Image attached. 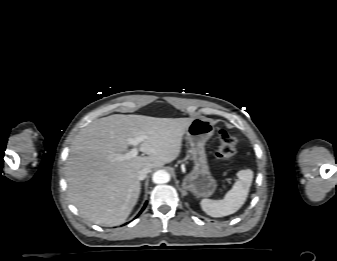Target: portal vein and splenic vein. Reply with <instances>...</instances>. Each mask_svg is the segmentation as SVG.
<instances>
[{
  "instance_id": "portal-vein-and-splenic-vein-1",
  "label": "portal vein and splenic vein",
  "mask_w": 337,
  "mask_h": 261,
  "mask_svg": "<svg viewBox=\"0 0 337 261\" xmlns=\"http://www.w3.org/2000/svg\"><path fill=\"white\" fill-rule=\"evenodd\" d=\"M147 139L146 135H141L138 136L136 138H127L126 141L127 143H129L130 145L133 146V148L125 153V154H115L113 155L112 159L115 161H124V160H129L132 159L134 157H136L138 155V145L141 141Z\"/></svg>"
}]
</instances>
